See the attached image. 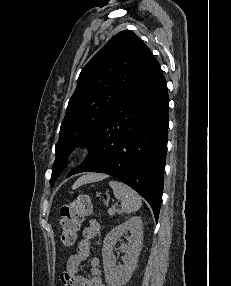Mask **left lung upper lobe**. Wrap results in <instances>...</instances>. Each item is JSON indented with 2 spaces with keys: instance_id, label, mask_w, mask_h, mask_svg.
<instances>
[{
  "instance_id": "obj_1",
  "label": "left lung upper lobe",
  "mask_w": 231,
  "mask_h": 286,
  "mask_svg": "<svg viewBox=\"0 0 231 286\" xmlns=\"http://www.w3.org/2000/svg\"><path fill=\"white\" fill-rule=\"evenodd\" d=\"M157 65L150 49L128 30L116 34L87 63L60 127L51 186L65 168L69 153L87 144L118 102Z\"/></svg>"
}]
</instances>
